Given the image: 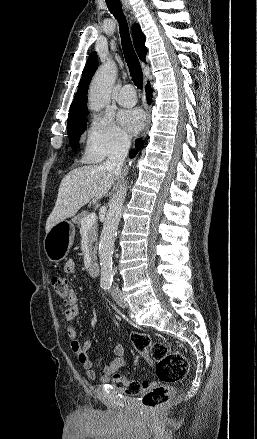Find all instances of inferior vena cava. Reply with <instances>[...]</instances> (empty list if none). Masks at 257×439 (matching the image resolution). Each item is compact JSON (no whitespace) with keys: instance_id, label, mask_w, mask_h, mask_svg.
Here are the masks:
<instances>
[{"instance_id":"obj_1","label":"inferior vena cava","mask_w":257,"mask_h":439,"mask_svg":"<svg viewBox=\"0 0 257 439\" xmlns=\"http://www.w3.org/2000/svg\"><path fill=\"white\" fill-rule=\"evenodd\" d=\"M130 139L127 137L118 138L115 143L112 145L109 153L107 161L104 166L107 169H114L116 174H119L120 169L125 161L129 148H130Z\"/></svg>"}]
</instances>
